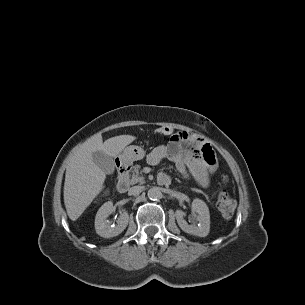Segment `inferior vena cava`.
<instances>
[{
  "mask_svg": "<svg viewBox=\"0 0 305 305\" xmlns=\"http://www.w3.org/2000/svg\"><path fill=\"white\" fill-rule=\"evenodd\" d=\"M142 191V187L141 186H133L129 189L128 191V195H137Z\"/></svg>",
  "mask_w": 305,
  "mask_h": 305,
  "instance_id": "obj_1",
  "label": "inferior vena cava"
}]
</instances>
